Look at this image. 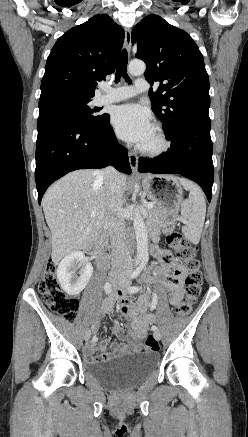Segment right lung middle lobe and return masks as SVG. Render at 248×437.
Wrapping results in <instances>:
<instances>
[{
	"label": "right lung middle lobe",
	"instance_id": "dd1d6c3e",
	"mask_svg": "<svg viewBox=\"0 0 248 437\" xmlns=\"http://www.w3.org/2000/svg\"><path fill=\"white\" fill-rule=\"evenodd\" d=\"M91 98H84L65 92H52L39 99V114L55 112L70 116L83 124L95 125L109 120V115H98L100 108L91 109Z\"/></svg>",
	"mask_w": 248,
	"mask_h": 437
}]
</instances>
